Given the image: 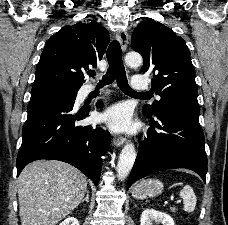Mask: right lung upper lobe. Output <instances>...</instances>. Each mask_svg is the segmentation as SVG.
<instances>
[{
	"label": "right lung upper lobe",
	"instance_id": "1",
	"mask_svg": "<svg viewBox=\"0 0 228 225\" xmlns=\"http://www.w3.org/2000/svg\"><path fill=\"white\" fill-rule=\"evenodd\" d=\"M109 43V32L96 21L64 26L46 42L33 87L59 84L80 88L82 70L97 66Z\"/></svg>",
	"mask_w": 228,
	"mask_h": 225
}]
</instances>
